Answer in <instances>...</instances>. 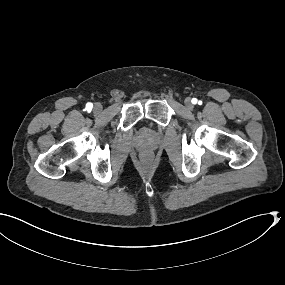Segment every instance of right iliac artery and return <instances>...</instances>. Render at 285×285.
I'll return each mask as SVG.
<instances>
[{"label": "right iliac artery", "instance_id": "right-iliac-artery-1", "mask_svg": "<svg viewBox=\"0 0 285 285\" xmlns=\"http://www.w3.org/2000/svg\"><path fill=\"white\" fill-rule=\"evenodd\" d=\"M92 107H93V104H92V103H87V104H86V109H87V110H91Z\"/></svg>", "mask_w": 285, "mask_h": 285}]
</instances>
